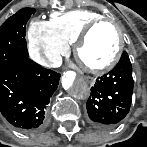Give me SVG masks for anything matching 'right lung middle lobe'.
I'll use <instances>...</instances> for the list:
<instances>
[{
	"instance_id": "obj_1",
	"label": "right lung middle lobe",
	"mask_w": 147,
	"mask_h": 147,
	"mask_svg": "<svg viewBox=\"0 0 147 147\" xmlns=\"http://www.w3.org/2000/svg\"><path fill=\"white\" fill-rule=\"evenodd\" d=\"M34 12L32 8L21 9L0 27V71L18 60L28 58L25 25Z\"/></svg>"
}]
</instances>
